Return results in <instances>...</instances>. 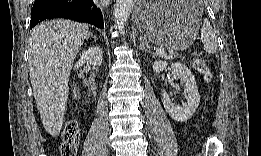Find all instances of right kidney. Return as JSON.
Returning <instances> with one entry per match:
<instances>
[{
    "instance_id": "right-kidney-1",
    "label": "right kidney",
    "mask_w": 261,
    "mask_h": 156,
    "mask_svg": "<svg viewBox=\"0 0 261 156\" xmlns=\"http://www.w3.org/2000/svg\"><path fill=\"white\" fill-rule=\"evenodd\" d=\"M103 60V53L99 47H91L84 51L81 58L75 64L74 70L79 69L84 63H90L94 66H100ZM73 97L79 98V89L73 84Z\"/></svg>"
}]
</instances>
